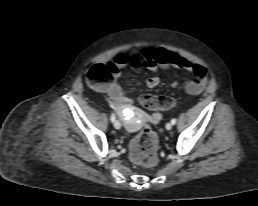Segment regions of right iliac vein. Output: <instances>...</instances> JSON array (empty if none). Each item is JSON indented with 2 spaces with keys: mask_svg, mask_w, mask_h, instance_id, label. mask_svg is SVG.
Returning <instances> with one entry per match:
<instances>
[{
  "mask_svg": "<svg viewBox=\"0 0 258 206\" xmlns=\"http://www.w3.org/2000/svg\"><path fill=\"white\" fill-rule=\"evenodd\" d=\"M114 127H115L116 129H120V128H121V123H120L118 120H116V121L114 122Z\"/></svg>",
  "mask_w": 258,
  "mask_h": 206,
  "instance_id": "1",
  "label": "right iliac vein"
}]
</instances>
